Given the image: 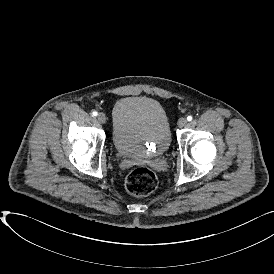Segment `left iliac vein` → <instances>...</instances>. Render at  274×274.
Returning a JSON list of instances; mask_svg holds the SVG:
<instances>
[{
    "mask_svg": "<svg viewBox=\"0 0 274 274\" xmlns=\"http://www.w3.org/2000/svg\"><path fill=\"white\" fill-rule=\"evenodd\" d=\"M187 123H188V121H187V119L184 118V117H182V118H180V119L178 120V126H179V127H184V126L187 125Z\"/></svg>",
    "mask_w": 274,
    "mask_h": 274,
    "instance_id": "1",
    "label": "left iliac vein"
}]
</instances>
